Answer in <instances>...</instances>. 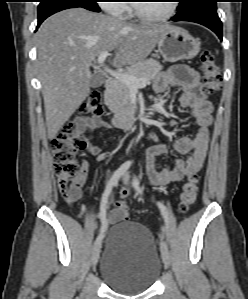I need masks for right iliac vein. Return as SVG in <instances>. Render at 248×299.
I'll return each instance as SVG.
<instances>
[{"instance_id": "obj_1", "label": "right iliac vein", "mask_w": 248, "mask_h": 299, "mask_svg": "<svg viewBox=\"0 0 248 299\" xmlns=\"http://www.w3.org/2000/svg\"><path fill=\"white\" fill-rule=\"evenodd\" d=\"M101 247H102V241L100 239V240L96 241V243L93 246V250H92V264H94V265L98 262Z\"/></svg>"}]
</instances>
